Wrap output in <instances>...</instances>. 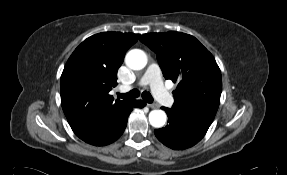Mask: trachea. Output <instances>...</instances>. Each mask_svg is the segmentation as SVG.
I'll return each mask as SVG.
<instances>
[{
	"label": "trachea",
	"mask_w": 287,
	"mask_h": 175,
	"mask_svg": "<svg viewBox=\"0 0 287 175\" xmlns=\"http://www.w3.org/2000/svg\"><path fill=\"white\" fill-rule=\"evenodd\" d=\"M119 98L123 99H132V98H137L140 95V92L137 89H133L129 91L128 93H117ZM142 98L147 102V103H152L153 102V97L151 94L147 91H144L142 93Z\"/></svg>",
	"instance_id": "1"
}]
</instances>
